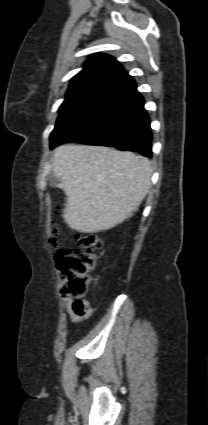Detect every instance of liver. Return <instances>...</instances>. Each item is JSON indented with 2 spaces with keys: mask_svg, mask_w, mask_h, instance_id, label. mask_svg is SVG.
Returning <instances> with one entry per match:
<instances>
[{
  "mask_svg": "<svg viewBox=\"0 0 208 425\" xmlns=\"http://www.w3.org/2000/svg\"><path fill=\"white\" fill-rule=\"evenodd\" d=\"M52 162L67 195L63 218L78 232L117 226L133 215L150 189V161L128 151L64 144L54 150Z\"/></svg>",
  "mask_w": 208,
  "mask_h": 425,
  "instance_id": "1",
  "label": "liver"
}]
</instances>
